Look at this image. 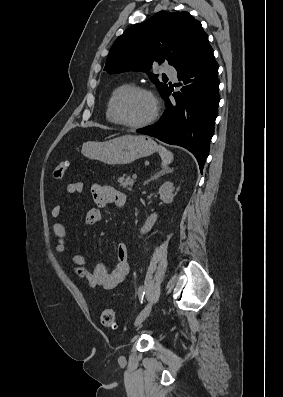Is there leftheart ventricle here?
<instances>
[{
    "label": "left heart ventricle",
    "instance_id": "obj_1",
    "mask_svg": "<svg viewBox=\"0 0 283 397\" xmlns=\"http://www.w3.org/2000/svg\"><path fill=\"white\" fill-rule=\"evenodd\" d=\"M154 105L151 98L144 93L128 96L121 104V114L125 121L131 123L142 122L153 112Z\"/></svg>",
    "mask_w": 283,
    "mask_h": 397
}]
</instances>
